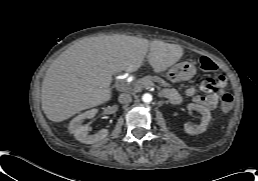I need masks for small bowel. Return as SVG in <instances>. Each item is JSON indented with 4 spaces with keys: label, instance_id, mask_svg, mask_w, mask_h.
<instances>
[{
    "label": "small bowel",
    "instance_id": "c3829d8e",
    "mask_svg": "<svg viewBox=\"0 0 258 181\" xmlns=\"http://www.w3.org/2000/svg\"><path fill=\"white\" fill-rule=\"evenodd\" d=\"M199 90L200 92L203 94L202 96H199L198 99L204 101V103L210 107V108H214L219 100V97L213 93L211 87L209 86L207 81H202L199 84ZM174 96H176V94H173ZM187 95L189 97H194L197 95V91L195 89H189L187 91Z\"/></svg>",
    "mask_w": 258,
    "mask_h": 181
}]
</instances>
